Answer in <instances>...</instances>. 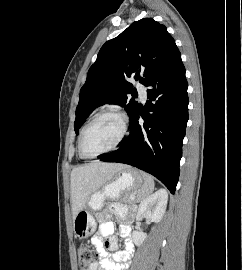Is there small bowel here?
Wrapping results in <instances>:
<instances>
[{
  "label": "small bowel",
  "instance_id": "obj_1",
  "mask_svg": "<svg viewBox=\"0 0 242 270\" xmlns=\"http://www.w3.org/2000/svg\"><path fill=\"white\" fill-rule=\"evenodd\" d=\"M111 213L124 221L120 225L119 232L125 238V249L118 251V239L114 235V223L110 216L100 218L99 231L91 238V244L99 256V261L91 264L86 270H124L128 267V260L133 252V243L129 239L133 213L119 204L112 206ZM108 251L114 252L112 258L109 257Z\"/></svg>",
  "mask_w": 242,
  "mask_h": 270
}]
</instances>
